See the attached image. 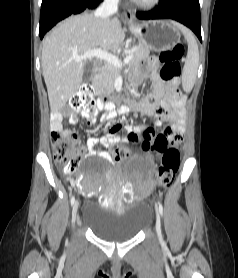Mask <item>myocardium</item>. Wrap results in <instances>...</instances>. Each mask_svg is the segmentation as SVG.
<instances>
[{
  "label": "myocardium",
  "mask_w": 238,
  "mask_h": 278,
  "mask_svg": "<svg viewBox=\"0 0 238 278\" xmlns=\"http://www.w3.org/2000/svg\"><path fill=\"white\" fill-rule=\"evenodd\" d=\"M137 6L143 9L154 8L160 0H132Z\"/></svg>",
  "instance_id": "f54148a6"
}]
</instances>
